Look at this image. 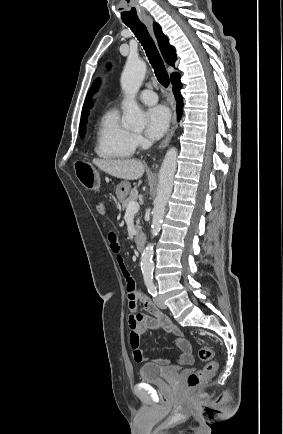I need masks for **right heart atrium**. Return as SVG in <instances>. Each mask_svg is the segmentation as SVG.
<instances>
[{
    "label": "right heart atrium",
    "mask_w": 283,
    "mask_h": 434,
    "mask_svg": "<svg viewBox=\"0 0 283 434\" xmlns=\"http://www.w3.org/2000/svg\"><path fill=\"white\" fill-rule=\"evenodd\" d=\"M132 141L135 148H145L148 145V141L139 133L132 134Z\"/></svg>",
    "instance_id": "obj_1"
}]
</instances>
